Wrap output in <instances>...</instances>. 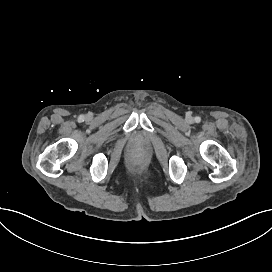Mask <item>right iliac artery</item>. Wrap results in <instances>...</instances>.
<instances>
[{
    "label": "right iliac artery",
    "instance_id": "obj_1",
    "mask_svg": "<svg viewBox=\"0 0 272 272\" xmlns=\"http://www.w3.org/2000/svg\"><path fill=\"white\" fill-rule=\"evenodd\" d=\"M78 120H79L80 122L84 121V116H83V115H80L79 118H78Z\"/></svg>",
    "mask_w": 272,
    "mask_h": 272
}]
</instances>
